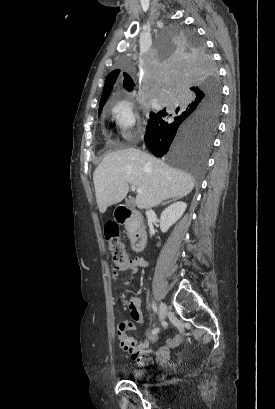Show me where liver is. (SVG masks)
Segmentation results:
<instances>
[{
    "label": "liver",
    "mask_w": 275,
    "mask_h": 409,
    "mask_svg": "<svg viewBox=\"0 0 275 409\" xmlns=\"http://www.w3.org/2000/svg\"><path fill=\"white\" fill-rule=\"evenodd\" d=\"M93 180L100 213L125 198L128 184L143 190L136 196L138 209L156 207L165 198L185 196L194 188L189 172L177 170L139 148L108 152L95 168Z\"/></svg>",
    "instance_id": "obj_1"
}]
</instances>
